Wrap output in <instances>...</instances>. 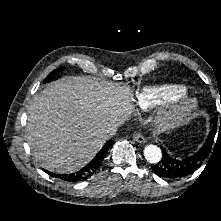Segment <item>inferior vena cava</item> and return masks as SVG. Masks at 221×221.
Instances as JSON below:
<instances>
[{
	"instance_id": "602c4592",
	"label": "inferior vena cava",
	"mask_w": 221,
	"mask_h": 221,
	"mask_svg": "<svg viewBox=\"0 0 221 221\" xmlns=\"http://www.w3.org/2000/svg\"><path fill=\"white\" fill-rule=\"evenodd\" d=\"M117 132V127L113 126V127H109L108 129H106L104 131V137L106 139L113 137Z\"/></svg>"
}]
</instances>
